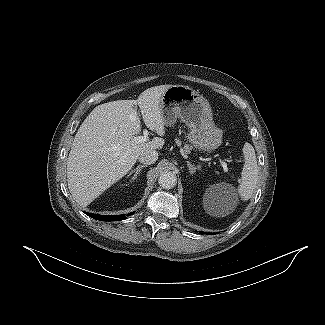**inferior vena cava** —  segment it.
<instances>
[{"label":"inferior vena cava","instance_id":"1","mask_svg":"<svg viewBox=\"0 0 325 325\" xmlns=\"http://www.w3.org/2000/svg\"><path fill=\"white\" fill-rule=\"evenodd\" d=\"M139 162L142 164L150 165L157 161L158 152L156 150L142 151L138 157Z\"/></svg>","mask_w":325,"mask_h":325}]
</instances>
